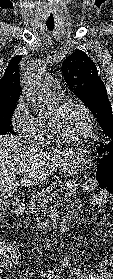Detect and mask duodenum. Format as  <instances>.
Masks as SVG:
<instances>
[{
  "label": "duodenum",
  "instance_id": "1",
  "mask_svg": "<svg viewBox=\"0 0 113 279\" xmlns=\"http://www.w3.org/2000/svg\"><path fill=\"white\" fill-rule=\"evenodd\" d=\"M71 220H72L71 214L69 212L66 213L60 223L59 232L65 231L69 227ZM43 240H45V239H43Z\"/></svg>",
  "mask_w": 113,
  "mask_h": 279
}]
</instances>
